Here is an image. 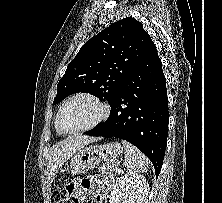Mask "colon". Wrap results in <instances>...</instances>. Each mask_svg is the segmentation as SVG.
Segmentation results:
<instances>
[{"label":"colon","instance_id":"obj_1","mask_svg":"<svg viewBox=\"0 0 222 203\" xmlns=\"http://www.w3.org/2000/svg\"><path fill=\"white\" fill-rule=\"evenodd\" d=\"M73 193L74 184L72 182H60L54 192L56 203H71Z\"/></svg>","mask_w":222,"mask_h":203}]
</instances>
